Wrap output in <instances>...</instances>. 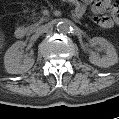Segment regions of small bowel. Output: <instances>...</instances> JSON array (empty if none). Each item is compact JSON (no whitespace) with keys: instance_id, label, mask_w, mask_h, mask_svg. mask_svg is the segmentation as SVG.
Masks as SVG:
<instances>
[{"instance_id":"small-bowel-1","label":"small bowel","mask_w":119,"mask_h":119,"mask_svg":"<svg viewBox=\"0 0 119 119\" xmlns=\"http://www.w3.org/2000/svg\"><path fill=\"white\" fill-rule=\"evenodd\" d=\"M76 13L82 16L87 10L93 13V22L100 28L108 29L119 22V5L111 0L75 1Z\"/></svg>"}]
</instances>
